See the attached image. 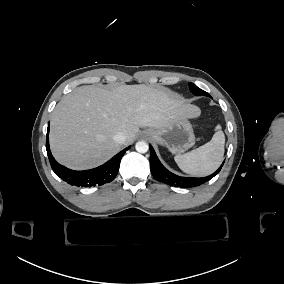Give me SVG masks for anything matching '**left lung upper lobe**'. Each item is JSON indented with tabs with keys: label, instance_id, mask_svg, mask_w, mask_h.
<instances>
[{
	"label": "left lung upper lobe",
	"instance_id": "5c2ea615",
	"mask_svg": "<svg viewBox=\"0 0 284 284\" xmlns=\"http://www.w3.org/2000/svg\"><path fill=\"white\" fill-rule=\"evenodd\" d=\"M189 88H190V91L196 96H209V97H211L207 92L201 90L200 88H198L193 83H189Z\"/></svg>",
	"mask_w": 284,
	"mask_h": 284
}]
</instances>
